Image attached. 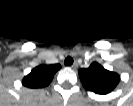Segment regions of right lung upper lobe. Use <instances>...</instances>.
I'll list each match as a JSON object with an SVG mask.
<instances>
[{"label": "right lung upper lobe", "mask_w": 133, "mask_h": 106, "mask_svg": "<svg viewBox=\"0 0 133 106\" xmlns=\"http://www.w3.org/2000/svg\"><path fill=\"white\" fill-rule=\"evenodd\" d=\"M61 68L59 64L39 65L24 77L22 84L29 88L46 87L52 81L55 73Z\"/></svg>", "instance_id": "right-lung-upper-lobe-1"}]
</instances>
